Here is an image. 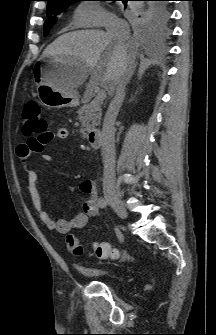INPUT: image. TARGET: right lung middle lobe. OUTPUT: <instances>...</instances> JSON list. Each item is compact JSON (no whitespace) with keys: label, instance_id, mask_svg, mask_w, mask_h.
<instances>
[{"label":"right lung middle lobe","instance_id":"1","mask_svg":"<svg viewBox=\"0 0 216 335\" xmlns=\"http://www.w3.org/2000/svg\"><path fill=\"white\" fill-rule=\"evenodd\" d=\"M75 1L57 2L47 5V17L48 19L44 25V34H48L51 27L57 21V15L62 13L68 6ZM135 17L138 19L141 27L148 32L153 33H166L167 22H168V10L167 5L164 2H153L149 5L134 11Z\"/></svg>","mask_w":216,"mask_h":335}]
</instances>
